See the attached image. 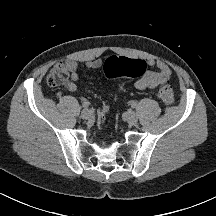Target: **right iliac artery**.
<instances>
[{
    "label": "right iliac artery",
    "mask_w": 216,
    "mask_h": 216,
    "mask_svg": "<svg viewBox=\"0 0 216 216\" xmlns=\"http://www.w3.org/2000/svg\"><path fill=\"white\" fill-rule=\"evenodd\" d=\"M82 106L85 107V108H87V107L90 106V102L86 100V101H84V102L82 103Z\"/></svg>",
    "instance_id": "82829eb1"
}]
</instances>
